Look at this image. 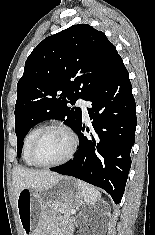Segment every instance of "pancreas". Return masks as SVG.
<instances>
[{
    "instance_id": "obj_1",
    "label": "pancreas",
    "mask_w": 155,
    "mask_h": 235,
    "mask_svg": "<svg viewBox=\"0 0 155 235\" xmlns=\"http://www.w3.org/2000/svg\"><path fill=\"white\" fill-rule=\"evenodd\" d=\"M57 211L65 214L66 216L70 215V210L65 209V208H57Z\"/></svg>"
}]
</instances>
